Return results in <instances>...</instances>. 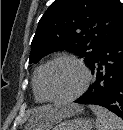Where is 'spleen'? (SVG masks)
Returning a JSON list of instances; mask_svg holds the SVG:
<instances>
[{
	"label": "spleen",
	"instance_id": "1",
	"mask_svg": "<svg viewBox=\"0 0 123 130\" xmlns=\"http://www.w3.org/2000/svg\"><path fill=\"white\" fill-rule=\"evenodd\" d=\"M96 116L97 130H123V120L109 110L97 106H89Z\"/></svg>",
	"mask_w": 123,
	"mask_h": 130
}]
</instances>
